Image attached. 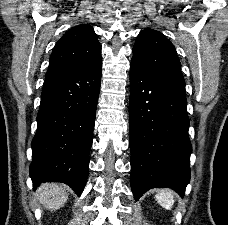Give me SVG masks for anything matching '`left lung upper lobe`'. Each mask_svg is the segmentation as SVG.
Returning <instances> with one entry per match:
<instances>
[{
	"instance_id": "1",
	"label": "left lung upper lobe",
	"mask_w": 228,
	"mask_h": 225,
	"mask_svg": "<svg viewBox=\"0 0 228 225\" xmlns=\"http://www.w3.org/2000/svg\"><path fill=\"white\" fill-rule=\"evenodd\" d=\"M132 51L131 62L148 72L184 80L175 47L160 32L154 29L142 30Z\"/></svg>"
}]
</instances>
